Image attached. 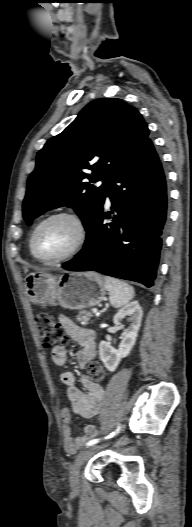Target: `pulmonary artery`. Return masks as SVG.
Masks as SVG:
<instances>
[{
  "label": "pulmonary artery",
  "instance_id": "e3ab8cb5",
  "mask_svg": "<svg viewBox=\"0 0 192 527\" xmlns=\"http://www.w3.org/2000/svg\"><path fill=\"white\" fill-rule=\"evenodd\" d=\"M100 183H102V182H100ZM109 201H110V200H109V198L107 197V202L109 203Z\"/></svg>",
  "mask_w": 192,
  "mask_h": 527
}]
</instances>
